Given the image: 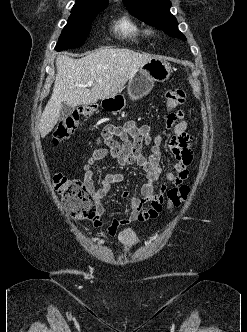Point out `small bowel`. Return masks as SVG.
<instances>
[{
    "instance_id": "small-bowel-1",
    "label": "small bowel",
    "mask_w": 247,
    "mask_h": 332,
    "mask_svg": "<svg viewBox=\"0 0 247 332\" xmlns=\"http://www.w3.org/2000/svg\"><path fill=\"white\" fill-rule=\"evenodd\" d=\"M183 117L182 111L168 117L169 124L178 121L169 142V148L176 163L173 170L166 173L167 180L172 183L174 188H179L186 180L188 167L193 159V137L187 131V123L182 120ZM102 137L105 147L100 146L98 142L97 147L86 158L83 165L84 186L96 205V216L93 220L95 228L106 225L104 217L107 210L103 199L107 195L110 185L122 182L124 175L120 172L106 173L102 177L101 185L96 187L93 179V165L109 156L122 167L137 165L146 174V182L141 187V196L130 199L131 213L120 220L110 221L107 223V231L98 235V238L108 240L117 235L120 226L158 218L169 189L165 185L157 189V182L162 174L160 166L162 137L153 135L149 125L139 126L135 121H128L123 126L110 125L103 130ZM115 137H119L121 142L116 141ZM145 147H150L148 156L143 153ZM121 196L127 198L129 192L123 191Z\"/></svg>"
}]
</instances>
